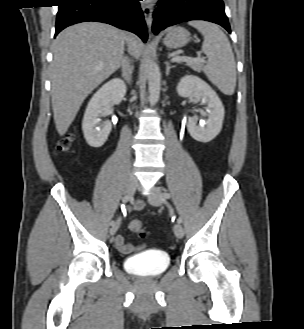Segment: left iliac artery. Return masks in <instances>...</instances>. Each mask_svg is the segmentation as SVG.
Wrapping results in <instances>:
<instances>
[{
  "label": "left iliac artery",
  "instance_id": "left-iliac-artery-1",
  "mask_svg": "<svg viewBox=\"0 0 304 329\" xmlns=\"http://www.w3.org/2000/svg\"><path fill=\"white\" fill-rule=\"evenodd\" d=\"M162 197L165 198V199H170L171 198V195H170V193H168V192L165 191V192L162 193ZM177 222L179 224L182 223V218L181 217H178Z\"/></svg>",
  "mask_w": 304,
  "mask_h": 329
}]
</instances>
